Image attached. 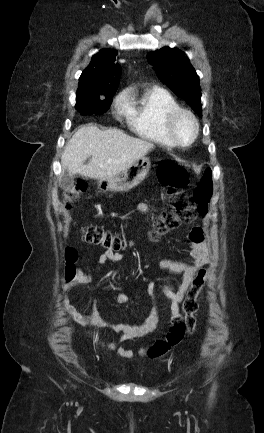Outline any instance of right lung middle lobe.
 Listing matches in <instances>:
<instances>
[{
	"label": "right lung middle lobe",
	"instance_id": "1",
	"mask_svg": "<svg viewBox=\"0 0 264 433\" xmlns=\"http://www.w3.org/2000/svg\"><path fill=\"white\" fill-rule=\"evenodd\" d=\"M113 94L104 95L97 98L77 99L76 109L81 115L102 114L106 112L112 102Z\"/></svg>",
	"mask_w": 264,
	"mask_h": 433
}]
</instances>
